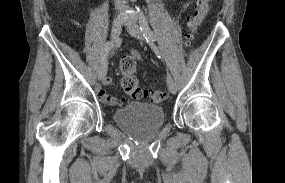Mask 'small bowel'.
I'll return each mask as SVG.
<instances>
[{"mask_svg": "<svg viewBox=\"0 0 285 183\" xmlns=\"http://www.w3.org/2000/svg\"><path fill=\"white\" fill-rule=\"evenodd\" d=\"M132 55H133V57H135L137 60H141V56H140V54H139L137 51L133 50V51H132ZM111 82H112L111 78H105L104 81H103V84H104V85H109V84H111ZM96 91H97V94L99 95V97H100L103 101H105V102H107V103H109V104H114V103L112 102V100H113L114 98H116V97H113V96H111V95H108V94L104 91V89H103L102 87H97ZM123 100H124L123 104H125V103H126V100H125V99H123Z\"/></svg>", "mask_w": 285, "mask_h": 183, "instance_id": "obj_1", "label": "small bowel"}]
</instances>
